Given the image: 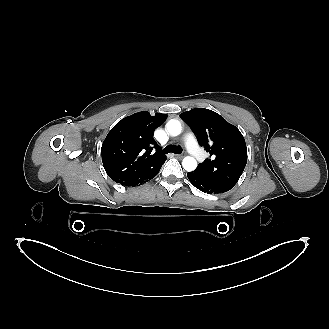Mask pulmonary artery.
<instances>
[{"label": "pulmonary artery", "mask_w": 329, "mask_h": 329, "mask_svg": "<svg viewBox=\"0 0 329 329\" xmlns=\"http://www.w3.org/2000/svg\"><path fill=\"white\" fill-rule=\"evenodd\" d=\"M184 141L187 150L190 152V154L195 157L198 161H203L204 159V152L202 149L198 146L196 139L192 132H188L184 136Z\"/></svg>", "instance_id": "e3ab8cb5"}]
</instances>
